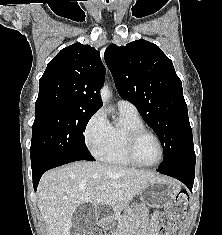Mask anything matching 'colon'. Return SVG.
<instances>
[{
    "label": "colon",
    "mask_w": 222,
    "mask_h": 235,
    "mask_svg": "<svg viewBox=\"0 0 222 235\" xmlns=\"http://www.w3.org/2000/svg\"><path fill=\"white\" fill-rule=\"evenodd\" d=\"M189 196L184 190H180L173 202L166 208L162 217V225L158 235H174L175 228L184 217ZM88 235H101L97 232H90Z\"/></svg>",
    "instance_id": "obj_1"
}]
</instances>
